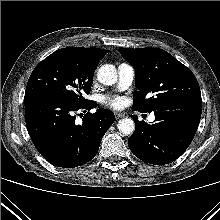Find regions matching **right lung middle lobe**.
<instances>
[{
  "label": "right lung middle lobe",
  "instance_id": "obj_1",
  "mask_svg": "<svg viewBox=\"0 0 220 220\" xmlns=\"http://www.w3.org/2000/svg\"><path fill=\"white\" fill-rule=\"evenodd\" d=\"M96 67L67 48L59 49L35 67L25 94H51L83 104L87 101L83 94L90 93Z\"/></svg>",
  "mask_w": 220,
  "mask_h": 220
}]
</instances>
